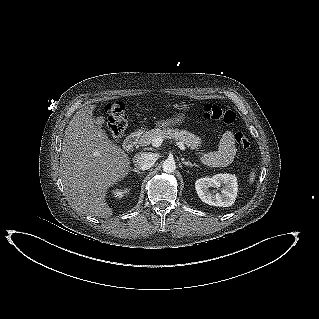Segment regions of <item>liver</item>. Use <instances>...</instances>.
<instances>
[{
	"label": "liver",
	"instance_id": "6515ba94",
	"mask_svg": "<svg viewBox=\"0 0 319 319\" xmlns=\"http://www.w3.org/2000/svg\"><path fill=\"white\" fill-rule=\"evenodd\" d=\"M95 105L85 106L69 122L63 138L60 165L65 191L80 213L101 218L113 214L106 193L130 168L128 155L94 125Z\"/></svg>",
	"mask_w": 319,
	"mask_h": 319
}]
</instances>
